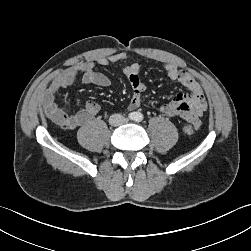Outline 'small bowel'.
<instances>
[{
	"instance_id": "1",
	"label": "small bowel",
	"mask_w": 251,
	"mask_h": 251,
	"mask_svg": "<svg viewBox=\"0 0 251 251\" xmlns=\"http://www.w3.org/2000/svg\"><path fill=\"white\" fill-rule=\"evenodd\" d=\"M128 56L125 53H115L109 56H101L94 61H87L66 69L57 75L47 86L41 97L48 116L53 120L57 112L69 115L71 128L79 127L92 118L99 110L100 105L95 101H87L84 107L68 114V110L55 102V95L60 90L73 85L78 78L83 83L93 84L99 87H108L111 81L107 75L95 71L96 65L108 66L110 64H123L122 72L128 78L132 88V96L128 103V109L135 110L142 104V96L146 89L145 84L139 77L140 65L138 63H126ZM163 69L171 81L178 82L187 93H178L174 98L160 107V112L168 117H179L194 127L201 125V117L207 109V101L200 84L186 71L178 68L175 64L165 63Z\"/></svg>"
}]
</instances>
